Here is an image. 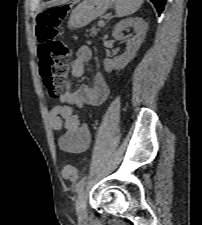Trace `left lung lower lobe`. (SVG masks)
<instances>
[{
  "label": "left lung lower lobe",
  "mask_w": 202,
  "mask_h": 225,
  "mask_svg": "<svg viewBox=\"0 0 202 225\" xmlns=\"http://www.w3.org/2000/svg\"><path fill=\"white\" fill-rule=\"evenodd\" d=\"M156 7L158 14H161V12L164 9V5L166 0H150Z\"/></svg>",
  "instance_id": "1"
}]
</instances>
